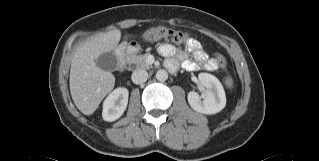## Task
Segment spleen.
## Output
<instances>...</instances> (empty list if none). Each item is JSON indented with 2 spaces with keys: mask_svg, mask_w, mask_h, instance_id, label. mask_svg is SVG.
<instances>
[{
  "mask_svg": "<svg viewBox=\"0 0 319 161\" xmlns=\"http://www.w3.org/2000/svg\"><path fill=\"white\" fill-rule=\"evenodd\" d=\"M225 83H226V85L228 86V87H232V85H233V81H232V79L231 78H226L225 79Z\"/></svg>",
  "mask_w": 319,
  "mask_h": 161,
  "instance_id": "spleen-1",
  "label": "spleen"
}]
</instances>
